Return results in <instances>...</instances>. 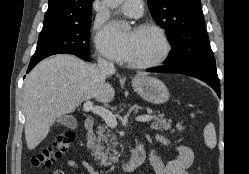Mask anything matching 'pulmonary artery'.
<instances>
[{
	"instance_id": "1",
	"label": "pulmonary artery",
	"mask_w": 249,
	"mask_h": 174,
	"mask_svg": "<svg viewBox=\"0 0 249 174\" xmlns=\"http://www.w3.org/2000/svg\"><path fill=\"white\" fill-rule=\"evenodd\" d=\"M122 9L130 17H139L143 11L142 0H124Z\"/></svg>"
}]
</instances>
